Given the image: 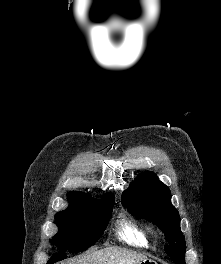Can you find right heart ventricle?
Returning <instances> with one entry per match:
<instances>
[{
    "instance_id": "right-heart-ventricle-1",
    "label": "right heart ventricle",
    "mask_w": 221,
    "mask_h": 264,
    "mask_svg": "<svg viewBox=\"0 0 221 264\" xmlns=\"http://www.w3.org/2000/svg\"><path fill=\"white\" fill-rule=\"evenodd\" d=\"M118 236L131 245L148 247L150 244L147 231L142 226L130 220L124 219L121 221Z\"/></svg>"
}]
</instances>
